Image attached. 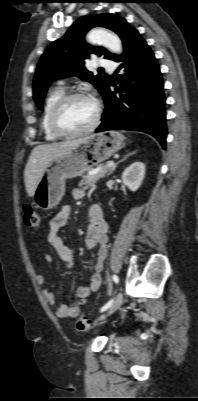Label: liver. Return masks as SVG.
I'll use <instances>...</instances> for the list:
<instances>
[{
  "label": "liver",
  "instance_id": "1",
  "mask_svg": "<svg viewBox=\"0 0 198 401\" xmlns=\"http://www.w3.org/2000/svg\"><path fill=\"white\" fill-rule=\"evenodd\" d=\"M85 138L36 146L28 159L24 171V182L29 197H33L48 164L70 148L81 144Z\"/></svg>",
  "mask_w": 198,
  "mask_h": 401
}]
</instances>
